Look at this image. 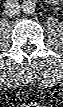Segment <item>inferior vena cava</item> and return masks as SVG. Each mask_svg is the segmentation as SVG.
Wrapping results in <instances>:
<instances>
[{
	"mask_svg": "<svg viewBox=\"0 0 63 107\" xmlns=\"http://www.w3.org/2000/svg\"><path fill=\"white\" fill-rule=\"evenodd\" d=\"M20 10V4L15 0H11L5 4L4 13L9 17H15L19 15Z\"/></svg>",
	"mask_w": 63,
	"mask_h": 107,
	"instance_id": "inferior-vena-cava-1",
	"label": "inferior vena cava"
}]
</instances>
